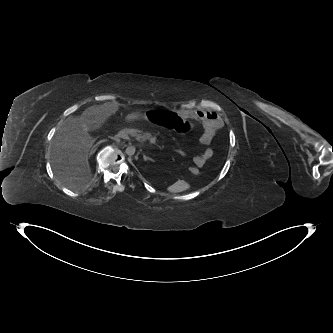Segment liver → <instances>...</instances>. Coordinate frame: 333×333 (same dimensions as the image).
<instances>
[{
	"mask_svg": "<svg viewBox=\"0 0 333 333\" xmlns=\"http://www.w3.org/2000/svg\"><path fill=\"white\" fill-rule=\"evenodd\" d=\"M119 110L118 102H107L86 108L80 116L68 117L55 133L50 149L55 177L73 190L84 188L92 179L88 155L94 144L90 131L100 129ZM141 113H129L125 121L138 120Z\"/></svg>",
	"mask_w": 333,
	"mask_h": 333,
	"instance_id": "liver-1",
	"label": "liver"
}]
</instances>
